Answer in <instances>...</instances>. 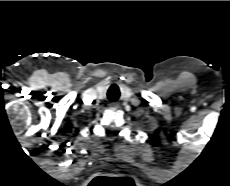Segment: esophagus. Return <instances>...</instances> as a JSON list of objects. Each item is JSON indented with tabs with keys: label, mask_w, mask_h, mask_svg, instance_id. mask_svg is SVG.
Instances as JSON below:
<instances>
[{
	"label": "esophagus",
	"mask_w": 230,
	"mask_h": 186,
	"mask_svg": "<svg viewBox=\"0 0 230 186\" xmlns=\"http://www.w3.org/2000/svg\"><path fill=\"white\" fill-rule=\"evenodd\" d=\"M112 108H118V104L117 103H112L111 105H110Z\"/></svg>",
	"instance_id": "1"
}]
</instances>
